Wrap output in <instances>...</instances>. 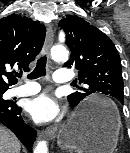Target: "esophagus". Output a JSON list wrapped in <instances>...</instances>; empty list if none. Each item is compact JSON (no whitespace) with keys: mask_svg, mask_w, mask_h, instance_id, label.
Returning <instances> with one entry per match:
<instances>
[{"mask_svg":"<svg viewBox=\"0 0 130 153\" xmlns=\"http://www.w3.org/2000/svg\"><path fill=\"white\" fill-rule=\"evenodd\" d=\"M53 39H54L53 30L51 26H47L46 39H45V44H44V51L47 54H49L50 48L53 44ZM56 132H57V126H50L46 129L45 136L48 139H53L56 135Z\"/></svg>","mask_w":130,"mask_h":153,"instance_id":"obj_1","label":"esophagus"}]
</instances>
